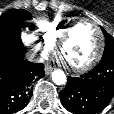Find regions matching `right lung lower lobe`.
Returning <instances> with one entry per match:
<instances>
[{
	"label": "right lung lower lobe",
	"instance_id": "right-lung-lower-lobe-1",
	"mask_svg": "<svg viewBox=\"0 0 114 114\" xmlns=\"http://www.w3.org/2000/svg\"><path fill=\"white\" fill-rule=\"evenodd\" d=\"M44 76L43 64L24 61L23 47L0 45V114L22 110L32 96V83Z\"/></svg>",
	"mask_w": 114,
	"mask_h": 114
}]
</instances>
